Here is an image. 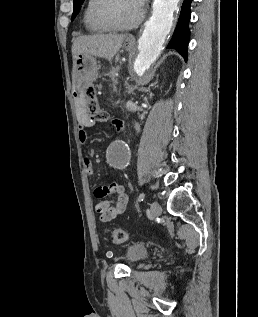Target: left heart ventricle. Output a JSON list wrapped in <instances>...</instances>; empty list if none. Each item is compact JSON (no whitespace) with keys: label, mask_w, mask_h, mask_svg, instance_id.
Masks as SVG:
<instances>
[{"label":"left heart ventricle","mask_w":258,"mask_h":317,"mask_svg":"<svg viewBox=\"0 0 258 317\" xmlns=\"http://www.w3.org/2000/svg\"><path fill=\"white\" fill-rule=\"evenodd\" d=\"M107 16L119 27H131L137 19L138 11L129 2H120L107 10Z\"/></svg>","instance_id":"1"}]
</instances>
